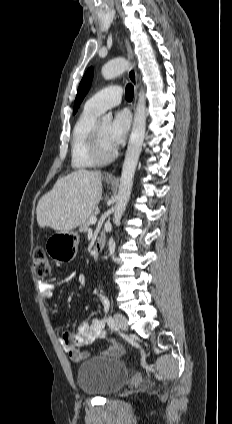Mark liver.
Segmentation results:
<instances>
[{
	"mask_svg": "<svg viewBox=\"0 0 232 424\" xmlns=\"http://www.w3.org/2000/svg\"><path fill=\"white\" fill-rule=\"evenodd\" d=\"M102 197V173L80 169L57 180L38 202L37 222L58 232H70L93 213Z\"/></svg>",
	"mask_w": 232,
	"mask_h": 424,
	"instance_id": "1",
	"label": "liver"
}]
</instances>
